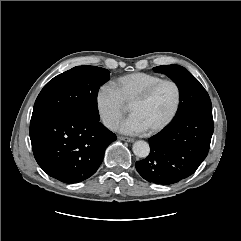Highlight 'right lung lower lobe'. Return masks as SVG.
<instances>
[{"label":"right lung lower lobe","mask_w":241,"mask_h":241,"mask_svg":"<svg viewBox=\"0 0 241 241\" xmlns=\"http://www.w3.org/2000/svg\"><path fill=\"white\" fill-rule=\"evenodd\" d=\"M30 139L43 171L72 184L97 171L105 149L116 135L99 120L74 113H49L31 118Z\"/></svg>","instance_id":"1"}]
</instances>
